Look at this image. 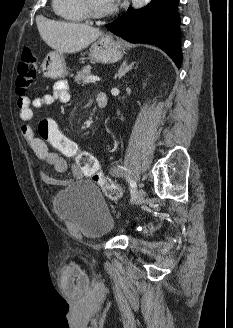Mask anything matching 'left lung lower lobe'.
<instances>
[{
  "label": "left lung lower lobe",
  "mask_w": 233,
  "mask_h": 328,
  "mask_svg": "<svg viewBox=\"0 0 233 328\" xmlns=\"http://www.w3.org/2000/svg\"><path fill=\"white\" fill-rule=\"evenodd\" d=\"M179 0H152L140 10L129 8L126 14L107 25L108 30L129 42L160 47L180 68Z\"/></svg>",
  "instance_id": "1"
}]
</instances>
